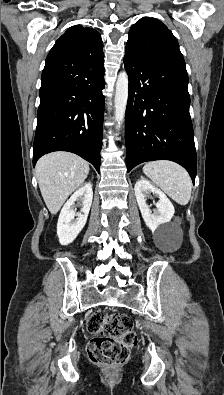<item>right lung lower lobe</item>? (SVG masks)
Masks as SVG:
<instances>
[{"label":"right lung lower lobe","mask_w":224,"mask_h":395,"mask_svg":"<svg viewBox=\"0 0 224 395\" xmlns=\"http://www.w3.org/2000/svg\"><path fill=\"white\" fill-rule=\"evenodd\" d=\"M104 55L82 56L53 46L41 76L33 166L53 151L75 153L100 169L104 116Z\"/></svg>","instance_id":"obj_1"}]
</instances>
